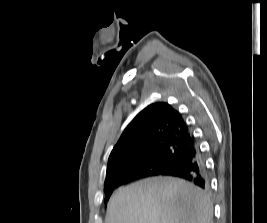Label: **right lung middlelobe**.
Listing matches in <instances>:
<instances>
[{"mask_svg": "<svg viewBox=\"0 0 267 223\" xmlns=\"http://www.w3.org/2000/svg\"><path fill=\"white\" fill-rule=\"evenodd\" d=\"M184 153V149L176 145L159 147L155 152L144 159L135 160L128 165V171L141 170L150 173H161L172 166L175 161ZM111 193H107L105 201Z\"/></svg>", "mask_w": 267, "mask_h": 223, "instance_id": "1", "label": "right lung middle lobe"}]
</instances>
